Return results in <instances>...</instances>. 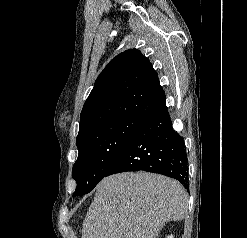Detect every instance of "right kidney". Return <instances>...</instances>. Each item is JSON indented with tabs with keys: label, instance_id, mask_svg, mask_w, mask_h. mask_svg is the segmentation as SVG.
I'll use <instances>...</instances> for the list:
<instances>
[{
	"label": "right kidney",
	"instance_id": "right-kidney-1",
	"mask_svg": "<svg viewBox=\"0 0 247 238\" xmlns=\"http://www.w3.org/2000/svg\"><path fill=\"white\" fill-rule=\"evenodd\" d=\"M166 238H173V236L171 235V236H168V237H166Z\"/></svg>",
	"mask_w": 247,
	"mask_h": 238
}]
</instances>
